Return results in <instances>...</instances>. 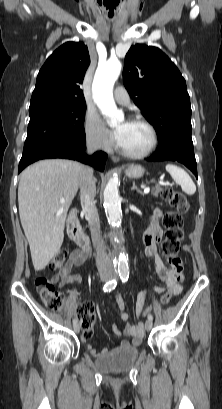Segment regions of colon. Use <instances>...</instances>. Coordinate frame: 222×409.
<instances>
[{
	"label": "colon",
	"mask_w": 222,
	"mask_h": 409,
	"mask_svg": "<svg viewBox=\"0 0 222 409\" xmlns=\"http://www.w3.org/2000/svg\"><path fill=\"white\" fill-rule=\"evenodd\" d=\"M162 197L172 208L163 216V226L165 228L164 240L162 243L163 253L167 258L169 256H178L181 241L184 237L183 232V214L187 212L189 203L186 196L173 188L166 187L162 191ZM67 252L62 249L53 257L50 267L54 270L62 269L66 265ZM35 287L40 294L45 305L54 311L62 309L64 305V297L59 293L53 283L45 276H40L35 279ZM172 297L171 292H166L161 297V303L167 304ZM153 307L148 306L142 313L143 317L152 313ZM77 316L80 319L82 326V336L90 338L93 334L95 313L89 304H82L77 309Z\"/></svg>",
	"instance_id": "5ec220e1"
}]
</instances>
